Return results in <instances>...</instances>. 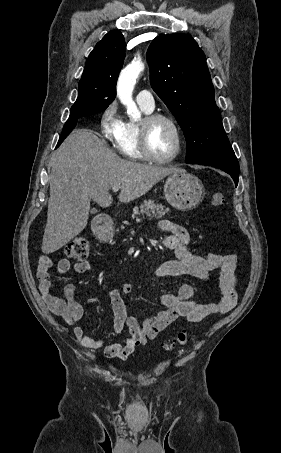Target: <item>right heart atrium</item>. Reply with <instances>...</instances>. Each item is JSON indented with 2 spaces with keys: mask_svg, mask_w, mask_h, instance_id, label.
Wrapping results in <instances>:
<instances>
[{
  "mask_svg": "<svg viewBox=\"0 0 281 453\" xmlns=\"http://www.w3.org/2000/svg\"><path fill=\"white\" fill-rule=\"evenodd\" d=\"M117 92L119 98H128V83L126 79H121V76L117 82ZM122 122L117 102H111L100 115L99 128L102 136L109 141H115L120 133ZM103 157L113 159V155L108 151L103 153Z\"/></svg>",
  "mask_w": 281,
  "mask_h": 453,
  "instance_id": "d8ad5b80",
  "label": "right heart atrium"
}]
</instances>
